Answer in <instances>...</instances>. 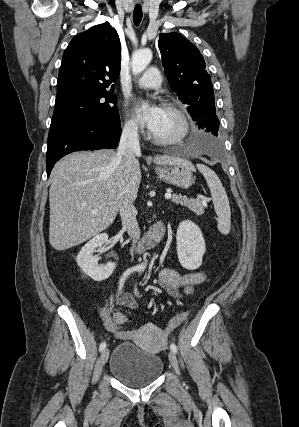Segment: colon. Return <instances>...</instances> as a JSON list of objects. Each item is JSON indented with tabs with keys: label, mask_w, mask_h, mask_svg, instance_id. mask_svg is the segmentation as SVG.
Here are the masks:
<instances>
[{
	"label": "colon",
	"mask_w": 299,
	"mask_h": 427,
	"mask_svg": "<svg viewBox=\"0 0 299 427\" xmlns=\"http://www.w3.org/2000/svg\"><path fill=\"white\" fill-rule=\"evenodd\" d=\"M126 322V316L123 313H117L114 316V323L116 324V326L118 327V329L120 328L121 325H123ZM120 330V329H119ZM130 333H132V331H128Z\"/></svg>",
	"instance_id": "obj_1"
}]
</instances>
